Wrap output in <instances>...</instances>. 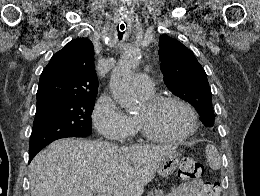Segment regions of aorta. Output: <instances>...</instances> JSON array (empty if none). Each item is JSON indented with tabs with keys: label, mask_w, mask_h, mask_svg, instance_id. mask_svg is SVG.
I'll return each mask as SVG.
<instances>
[{
	"label": "aorta",
	"mask_w": 260,
	"mask_h": 196,
	"mask_svg": "<svg viewBox=\"0 0 260 196\" xmlns=\"http://www.w3.org/2000/svg\"><path fill=\"white\" fill-rule=\"evenodd\" d=\"M140 59V50L136 48L126 50L114 67L109 83L114 99L128 111L134 110L137 103L130 82Z\"/></svg>",
	"instance_id": "1"
}]
</instances>
